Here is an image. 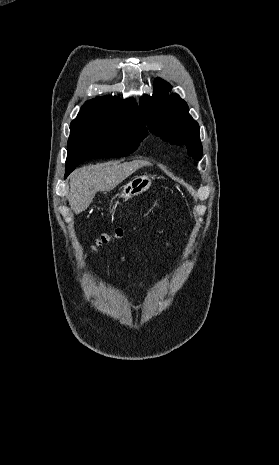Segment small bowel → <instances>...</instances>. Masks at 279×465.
<instances>
[{"label": "small bowel", "mask_w": 279, "mask_h": 465, "mask_svg": "<svg viewBox=\"0 0 279 465\" xmlns=\"http://www.w3.org/2000/svg\"><path fill=\"white\" fill-rule=\"evenodd\" d=\"M164 244H165L166 247L171 248V244L169 242L164 241Z\"/></svg>", "instance_id": "c3829d8e"}]
</instances>
